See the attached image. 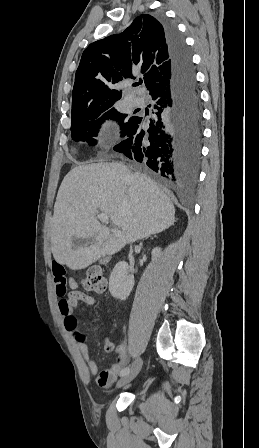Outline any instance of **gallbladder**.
<instances>
[{
	"mask_svg": "<svg viewBox=\"0 0 259 448\" xmlns=\"http://www.w3.org/2000/svg\"><path fill=\"white\" fill-rule=\"evenodd\" d=\"M95 242V238H84V240H82V238H75V236H73L72 248L73 250H79V248H89V246H92Z\"/></svg>",
	"mask_w": 259,
	"mask_h": 448,
	"instance_id": "obj_1",
	"label": "gallbladder"
}]
</instances>
